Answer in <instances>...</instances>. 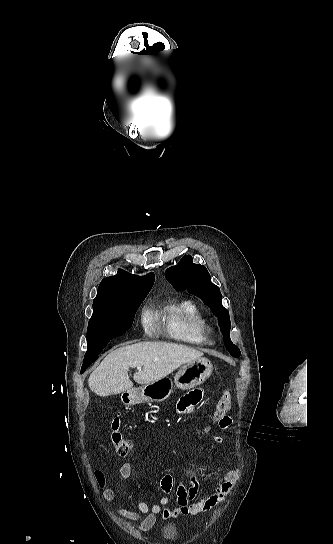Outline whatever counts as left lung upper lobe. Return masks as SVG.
I'll use <instances>...</instances> for the list:
<instances>
[{"mask_svg":"<svg viewBox=\"0 0 333 544\" xmlns=\"http://www.w3.org/2000/svg\"><path fill=\"white\" fill-rule=\"evenodd\" d=\"M165 276L176 290L188 289L189 292L200 297L212 308L219 319L228 352L232 356L238 357L240 350L231 342L229 335L231 327L229 312L222 306L220 289L211 283L207 269L202 265L192 263L191 256L186 255L176 267L168 269Z\"/></svg>","mask_w":333,"mask_h":544,"instance_id":"1","label":"left lung upper lobe"}]
</instances>
